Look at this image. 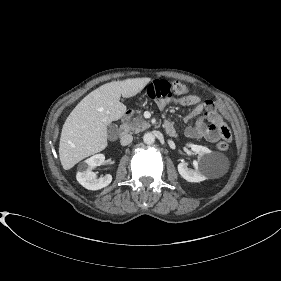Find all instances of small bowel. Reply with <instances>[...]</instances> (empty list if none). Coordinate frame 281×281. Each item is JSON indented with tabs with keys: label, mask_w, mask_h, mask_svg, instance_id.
Masks as SVG:
<instances>
[{
	"label": "small bowel",
	"mask_w": 281,
	"mask_h": 281,
	"mask_svg": "<svg viewBox=\"0 0 281 281\" xmlns=\"http://www.w3.org/2000/svg\"><path fill=\"white\" fill-rule=\"evenodd\" d=\"M170 102L171 100L169 99L160 98L156 100V105L160 110H163ZM174 102L182 106L193 107L186 117L187 121L199 117L194 125H189L185 128L184 134L186 137L205 139L214 143L220 138H224V130H229L212 100L202 101L196 95H186L175 99ZM164 127L170 136L176 137L178 135L172 122L166 121Z\"/></svg>",
	"instance_id": "obj_1"
}]
</instances>
